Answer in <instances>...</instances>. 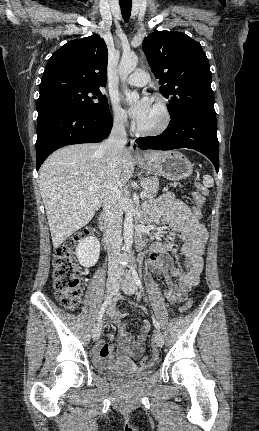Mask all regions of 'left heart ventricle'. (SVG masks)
Returning <instances> with one entry per match:
<instances>
[{"label": "left heart ventricle", "mask_w": 259, "mask_h": 431, "mask_svg": "<svg viewBox=\"0 0 259 431\" xmlns=\"http://www.w3.org/2000/svg\"><path fill=\"white\" fill-rule=\"evenodd\" d=\"M161 121H162L161 110L154 101H151V105L149 107L148 112L146 113V115L142 120L137 122V125L141 129L150 130L159 126Z\"/></svg>", "instance_id": "left-heart-ventricle-1"}]
</instances>
